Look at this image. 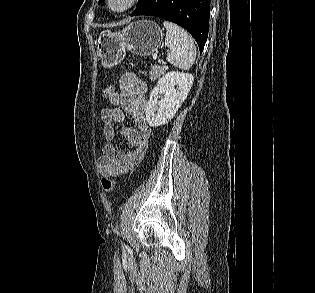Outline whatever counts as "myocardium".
<instances>
[{"label":"myocardium","mask_w":315,"mask_h":293,"mask_svg":"<svg viewBox=\"0 0 315 293\" xmlns=\"http://www.w3.org/2000/svg\"><path fill=\"white\" fill-rule=\"evenodd\" d=\"M112 2L113 0H105V7L107 11L112 14H123L133 9L138 4L139 0H125L124 5L118 9L112 8Z\"/></svg>","instance_id":"myocardium-1"}]
</instances>
